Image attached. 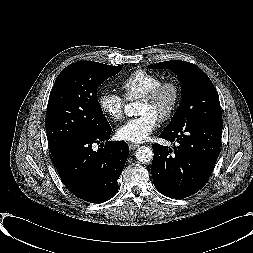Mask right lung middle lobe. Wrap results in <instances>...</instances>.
<instances>
[{
    "mask_svg": "<svg viewBox=\"0 0 253 253\" xmlns=\"http://www.w3.org/2000/svg\"><path fill=\"white\" fill-rule=\"evenodd\" d=\"M122 68L123 65L83 61L69 65L59 74L46 114L51 152L78 134L96 133L109 125L97 99V87Z\"/></svg>",
    "mask_w": 253,
    "mask_h": 253,
    "instance_id": "1",
    "label": "right lung middle lobe"
}]
</instances>
